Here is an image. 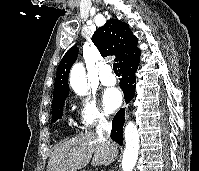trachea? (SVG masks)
Returning a JSON list of instances; mask_svg holds the SVG:
<instances>
[{
  "label": "trachea",
  "instance_id": "obj_1",
  "mask_svg": "<svg viewBox=\"0 0 199 171\" xmlns=\"http://www.w3.org/2000/svg\"><path fill=\"white\" fill-rule=\"evenodd\" d=\"M113 70H114L115 74H118V73H119L117 63H115V64L113 65Z\"/></svg>",
  "mask_w": 199,
  "mask_h": 171
}]
</instances>
